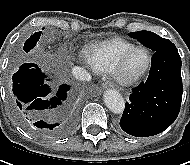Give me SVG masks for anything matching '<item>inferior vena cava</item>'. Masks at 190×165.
<instances>
[{
  "instance_id": "602c4592",
  "label": "inferior vena cava",
  "mask_w": 190,
  "mask_h": 165,
  "mask_svg": "<svg viewBox=\"0 0 190 165\" xmlns=\"http://www.w3.org/2000/svg\"><path fill=\"white\" fill-rule=\"evenodd\" d=\"M73 76L80 81H89L91 75L83 68L75 66L72 69Z\"/></svg>"
}]
</instances>
